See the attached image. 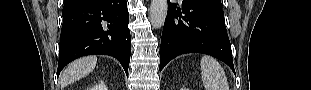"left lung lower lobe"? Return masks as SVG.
I'll use <instances>...</instances> for the list:
<instances>
[{
	"instance_id": "1",
	"label": "left lung lower lobe",
	"mask_w": 311,
	"mask_h": 90,
	"mask_svg": "<svg viewBox=\"0 0 311 90\" xmlns=\"http://www.w3.org/2000/svg\"><path fill=\"white\" fill-rule=\"evenodd\" d=\"M168 2L161 39L160 71L170 60L185 53L214 56L234 71L222 8L202 0H183L180 10L176 4Z\"/></svg>"
}]
</instances>
